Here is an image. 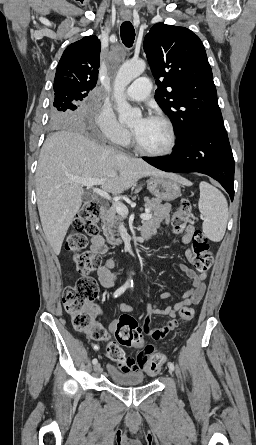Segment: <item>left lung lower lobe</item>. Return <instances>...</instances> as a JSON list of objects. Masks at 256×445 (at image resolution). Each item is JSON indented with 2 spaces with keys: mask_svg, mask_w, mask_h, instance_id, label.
Masks as SVG:
<instances>
[{
  "mask_svg": "<svg viewBox=\"0 0 256 445\" xmlns=\"http://www.w3.org/2000/svg\"><path fill=\"white\" fill-rule=\"evenodd\" d=\"M154 167L167 172H199L216 179L234 198V158L224 126L190 129L170 156L143 157Z\"/></svg>",
  "mask_w": 256,
  "mask_h": 445,
  "instance_id": "left-lung-lower-lobe-1",
  "label": "left lung lower lobe"
}]
</instances>
